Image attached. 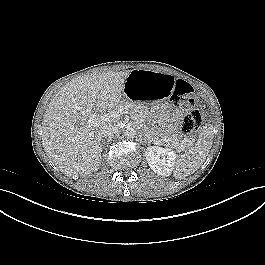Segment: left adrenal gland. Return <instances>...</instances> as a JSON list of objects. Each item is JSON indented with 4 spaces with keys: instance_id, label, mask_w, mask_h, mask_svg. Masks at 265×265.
<instances>
[{
    "instance_id": "a2214340",
    "label": "left adrenal gland",
    "mask_w": 265,
    "mask_h": 265,
    "mask_svg": "<svg viewBox=\"0 0 265 265\" xmlns=\"http://www.w3.org/2000/svg\"><path fill=\"white\" fill-rule=\"evenodd\" d=\"M144 141H145L146 143L150 144V141H148V140L146 139V137H145Z\"/></svg>"
}]
</instances>
